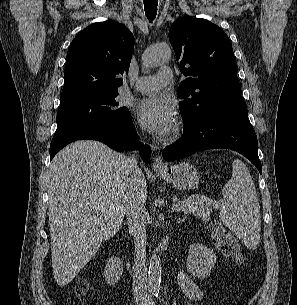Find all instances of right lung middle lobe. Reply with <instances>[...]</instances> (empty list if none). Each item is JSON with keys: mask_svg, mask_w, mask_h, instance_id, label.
<instances>
[{"mask_svg": "<svg viewBox=\"0 0 297 305\" xmlns=\"http://www.w3.org/2000/svg\"><path fill=\"white\" fill-rule=\"evenodd\" d=\"M118 91L93 92L61 100L52 142L73 130L101 122H126L131 116L116 101Z\"/></svg>", "mask_w": 297, "mask_h": 305, "instance_id": "right-lung-middle-lobe-1", "label": "right lung middle lobe"}]
</instances>
